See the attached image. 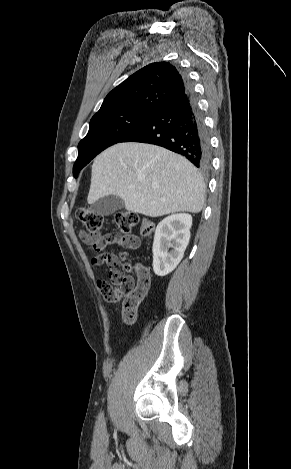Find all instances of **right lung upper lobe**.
I'll list each match as a JSON object with an SVG mask.
<instances>
[{"mask_svg": "<svg viewBox=\"0 0 291 469\" xmlns=\"http://www.w3.org/2000/svg\"><path fill=\"white\" fill-rule=\"evenodd\" d=\"M185 90V77L174 66L168 62L152 63L114 88L92 118L132 109L155 111Z\"/></svg>", "mask_w": 291, "mask_h": 469, "instance_id": "1", "label": "right lung upper lobe"}]
</instances>
